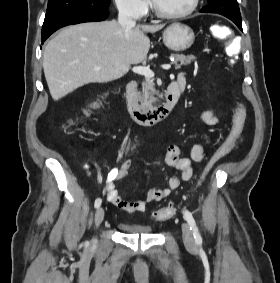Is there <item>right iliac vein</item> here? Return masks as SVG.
Here are the masks:
<instances>
[{"instance_id": "63e3f726", "label": "right iliac vein", "mask_w": 280, "mask_h": 283, "mask_svg": "<svg viewBox=\"0 0 280 283\" xmlns=\"http://www.w3.org/2000/svg\"><path fill=\"white\" fill-rule=\"evenodd\" d=\"M104 215L105 213H104L103 208H98L96 210V213H95V225L96 226H99L102 223V221L104 220Z\"/></svg>"}]
</instances>
